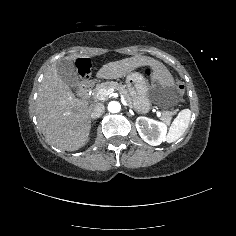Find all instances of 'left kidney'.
<instances>
[{
  "label": "left kidney",
  "mask_w": 236,
  "mask_h": 236,
  "mask_svg": "<svg viewBox=\"0 0 236 236\" xmlns=\"http://www.w3.org/2000/svg\"><path fill=\"white\" fill-rule=\"evenodd\" d=\"M136 129L141 138L150 145L158 146L166 141L168 125L165 122L140 116L136 119Z\"/></svg>",
  "instance_id": "1"
}]
</instances>
